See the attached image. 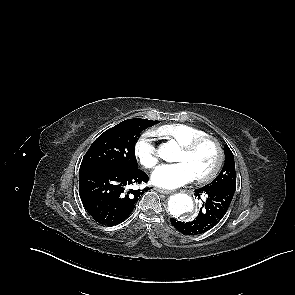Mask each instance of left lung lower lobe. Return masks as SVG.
Returning <instances> with one entry per match:
<instances>
[{"instance_id": "obj_1", "label": "left lung lower lobe", "mask_w": 295, "mask_h": 295, "mask_svg": "<svg viewBox=\"0 0 295 295\" xmlns=\"http://www.w3.org/2000/svg\"><path fill=\"white\" fill-rule=\"evenodd\" d=\"M234 186H204L195 189L194 195L199 199L204 197L202 208L198 216L191 222H180L171 218L172 225L186 235H199L214 228L226 214L233 195ZM202 200V199H201Z\"/></svg>"}]
</instances>
